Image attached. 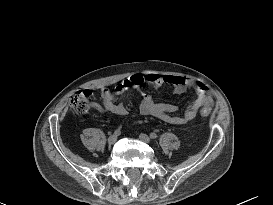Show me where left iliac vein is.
<instances>
[{
  "label": "left iliac vein",
  "mask_w": 273,
  "mask_h": 205,
  "mask_svg": "<svg viewBox=\"0 0 273 205\" xmlns=\"http://www.w3.org/2000/svg\"><path fill=\"white\" fill-rule=\"evenodd\" d=\"M139 139L145 143H150V138L148 135L141 133Z\"/></svg>",
  "instance_id": "4c4485c4"
}]
</instances>
